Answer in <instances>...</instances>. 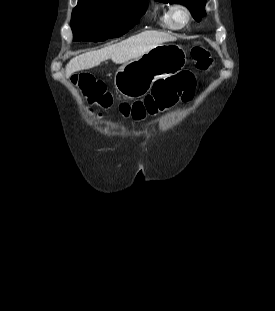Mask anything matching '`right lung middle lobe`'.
I'll use <instances>...</instances> for the list:
<instances>
[{"instance_id":"obj_1","label":"right lung middle lobe","mask_w":275,"mask_h":311,"mask_svg":"<svg viewBox=\"0 0 275 311\" xmlns=\"http://www.w3.org/2000/svg\"><path fill=\"white\" fill-rule=\"evenodd\" d=\"M146 0H106L78 3L71 28L74 41H103L125 34L147 10Z\"/></svg>"}]
</instances>
